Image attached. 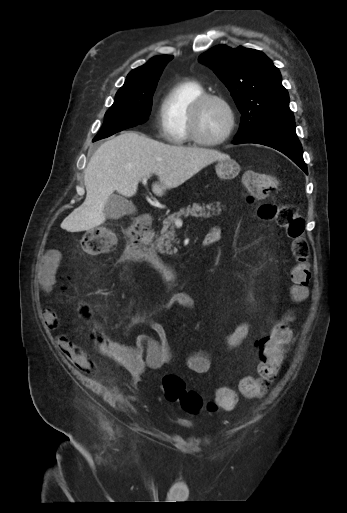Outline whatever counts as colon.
<instances>
[{
	"instance_id": "1",
	"label": "colon",
	"mask_w": 347,
	"mask_h": 513,
	"mask_svg": "<svg viewBox=\"0 0 347 513\" xmlns=\"http://www.w3.org/2000/svg\"><path fill=\"white\" fill-rule=\"evenodd\" d=\"M244 183V194L249 202L263 200L265 195H274L278 190V183L272 174L251 172L244 176ZM257 212L261 219L274 221L283 227L286 236L291 240V251L295 260L290 270L291 293L296 300L306 297L311 270L303 217L292 207L277 206L269 202L262 203ZM116 240V235L108 228L96 227L83 235L81 246L88 254H101L113 248ZM78 312L86 316L87 324L94 322L91 302H80ZM292 320V315L286 313L274 323L269 338L262 342L260 359L256 364V377H245L240 381L239 389L243 396L259 398L268 392L278 375L280 361L287 357L285 345L292 338ZM91 336L98 346H105L107 350L112 347L96 323L93 324ZM162 385L167 400L179 403L190 414H197L203 409L209 412L218 409L232 410L237 404L236 393L226 386L217 389L214 401L204 403L196 392L186 388L184 379L176 374L165 375Z\"/></svg>"
}]
</instances>
